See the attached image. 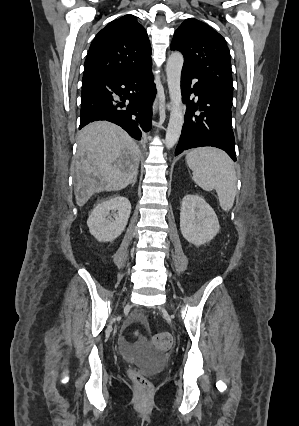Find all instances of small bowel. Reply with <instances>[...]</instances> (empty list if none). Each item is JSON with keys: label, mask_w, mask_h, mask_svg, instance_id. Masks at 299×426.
Returning a JSON list of instances; mask_svg holds the SVG:
<instances>
[{"label": "small bowel", "mask_w": 299, "mask_h": 426, "mask_svg": "<svg viewBox=\"0 0 299 426\" xmlns=\"http://www.w3.org/2000/svg\"><path fill=\"white\" fill-rule=\"evenodd\" d=\"M134 321H140L142 320V316L140 314H136L133 317ZM122 348L124 353L129 357V358H133L135 356L136 350H137V345L134 343H130V342H123L122 343Z\"/></svg>", "instance_id": "obj_1"}]
</instances>
